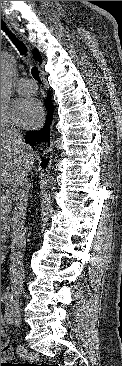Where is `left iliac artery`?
<instances>
[{"label": "left iliac artery", "mask_w": 122, "mask_h": 366, "mask_svg": "<svg viewBox=\"0 0 122 366\" xmlns=\"http://www.w3.org/2000/svg\"><path fill=\"white\" fill-rule=\"evenodd\" d=\"M13 305L11 303L6 304L5 319L8 323H12Z\"/></svg>", "instance_id": "1"}]
</instances>
